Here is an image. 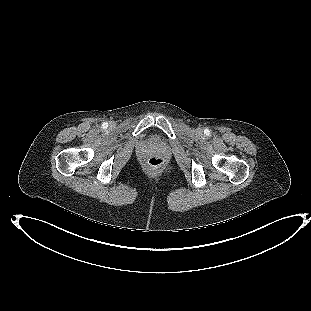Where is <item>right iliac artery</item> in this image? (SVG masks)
<instances>
[{"mask_svg":"<svg viewBox=\"0 0 311 311\" xmlns=\"http://www.w3.org/2000/svg\"><path fill=\"white\" fill-rule=\"evenodd\" d=\"M102 127H103L104 129H106V128L108 127V123H107V122H104V123L102 124Z\"/></svg>","mask_w":311,"mask_h":311,"instance_id":"right-iliac-artery-1","label":"right iliac artery"}]
</instances>
